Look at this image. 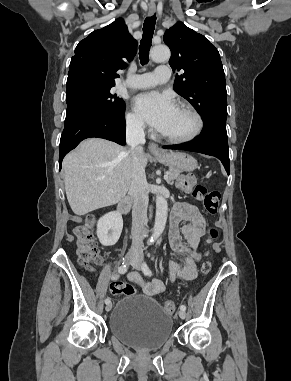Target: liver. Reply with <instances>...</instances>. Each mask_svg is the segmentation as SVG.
Returning <instances> with one entry per match:
<instances>
[{"instance_id": "obj_1", "label": "liver", "mask_w": 291, "mask_h": 381, "mask_svg": "<svg viewBox=\"0 0 291 381\" xmlns=\"http://www.w3.org/2000/svg\"><path fill=\"white\" fill-rule=\"evenodd\" d=\"M147 162L143 153L144 168ZM62 166L67 199L78 216L119 203L130 187V149L111 141L84 140L66 155Z\"/></svg>"}]
</instances>
